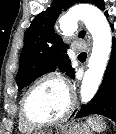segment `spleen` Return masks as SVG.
<instances>
[{
    "label": "spleen",
    "instance_id": "1",
    "mask_svg": "<svg viewBox=\"0 0 116 134\" xmlns=\"http://www.w3.org/2000/svg\"><path fill=\"white\" fill-rule=\"evenodd\" d=\"M87 122L88 125L97 133L102 132L106 128L105 123L102 122V119L99 117H89Z\"/></svg>",
    "mask_w": 116,
    "mask_h": 134
}]
</instances>
